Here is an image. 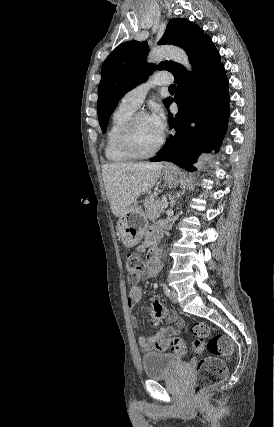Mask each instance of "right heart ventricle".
Instances as JSON below:
<instances>
[{
  "instance_id": "obj_1",
  "label": "right heart ventricle",
  "mask_w": 274,
  "mask_h": 427,
  "mask_svg": "<svg viewBox=\"0 0 274 427\" xmlns=\"http://www.w3.org/2000/svg\"><path fill=\"white\" fill-rule=\"evenodd\" d=\"M135 110L121 105L115 110L110 126L105 136L104 153L106 159L114 164H123L132 159L123 151L120 145V134L126 122L133 116Z\"/></svg>"
}]
</instances>
